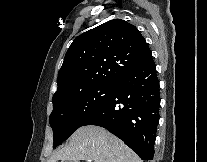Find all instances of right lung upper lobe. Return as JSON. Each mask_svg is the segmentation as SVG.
Masks as SVG:
<instances>
[{"mask_svg":"<svg viewBox=\"0 0 207 162\" xmlns=\"http://www.w3.org/2000/svg\"><path fill=\"white\" fill-rule=\"evenodd\" d=\"M152 59L137 28L113 19L78 37L70 45L58 74L53 99L86 88L114 84L128 70Z\"/></svg>","mask_w":207,"mask_h":162,"instance_id":"1","label":"right lung upper lobe"}]
</instances>
